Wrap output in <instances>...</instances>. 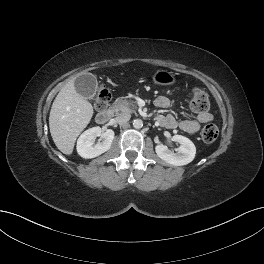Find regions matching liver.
Listing matches in <instances>:
<instances>
[{"label":"liver","instance_id":"obj_1","mask_svg":"<svg viewBox=\"0 0 264 264\" xmlns=\"http://www.w3.org/2000/svg\"><path fill=\"white\" fill-rule=\"evenodd\" d=\"M75 78L57 94L49 115V128L57 148L64 154L73 152L75 141L93 116V107L75 88Z\"/></svg>","mask_w":264,"mask_h":264}]
</instances>
